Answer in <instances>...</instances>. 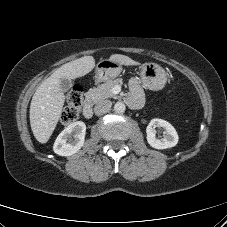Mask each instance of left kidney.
Returning <instances> with one entry per match:
<instances>
[{
  "label": "left kidney",
  "instance_id": "obj_1",
  "mask_svg": "<svg viewBox=\"0 0 227 227\" xmlns=\"http://www.w3.org/2000/svg\"><path fill=\"white\" fill-rule=\"evenodd\" d=\"M161 128L164 132L163 137H156L155 128ZM147 142L155 149H167L174 147L178 143V134L175 128L167 121L162 119H152L147 126Z\"/></svg>",
  "mask_w": 227,
  "mask_h": 227
}]
</instances>
